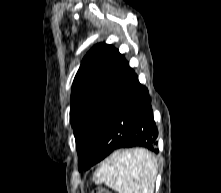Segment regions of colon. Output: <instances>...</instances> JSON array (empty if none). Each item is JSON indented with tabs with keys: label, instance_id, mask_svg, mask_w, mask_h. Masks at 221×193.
I'll list each match as a JSON object with an SVG mask.
<instances>
[{
	"label": "colon",
	"instance_id": "colon-1",
	"mask_svg": "<svg viewBox=\"0 0 221 193\" xmlns=\"http://www.w3.org/2000/svg\"><path fill=\"white\" fill-rule=\"evenodd\" d=\"M92 193H108V192L103 189H97V190L93 191Z\"/></svg>",
	"mask_w": 221,
	"mask_h": 193
}]
</instances>
